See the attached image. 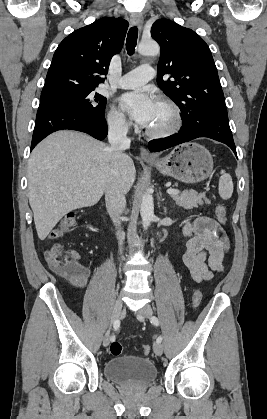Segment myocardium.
<instances>
[{"label":"myocardium","instance_id":"1","mask_svg":"<svg viewBox=\"0 0 267 419\" xmlns=\"http://www.w3.org/2000/svg\"><path fill=\"white\" fill-rule=\"evenodd\" d=\"M157 102L168 106L173 115L172 123L162 129L146 128L145 133L151 138H166L175 134L182 126V113L178 104L168 97H159Z\"/></svg>","mask_w":267,"mask_h":419}]
</instances>
